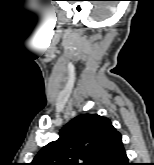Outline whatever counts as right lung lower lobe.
Listing matches in <instances>:
<instances>
[{
	"instance_id": "right-lung-lower-lobe-1",
	"label": "right lung lower lobe",
	"mask_w": 154,
	"mask_h": 165,
	"mask_svg": "<svg viewBox=\"0 0 154 165\" xmlns=\"http://www.w3.org/2000/svg\"><path fill=\"white\" fill-rule=\"evenodd\" d=\"M97 165H130L123 148L120 134L109 144L106 153Z\"/></svg>"
}]
</instances>
